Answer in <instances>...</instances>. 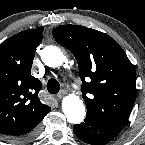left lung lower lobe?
I'll return each instance as SVG.
<instances>
[{"label": "left lung lower lobe", "instance_id": "left-lung-lower-lobe-1", "mask_svg": "<svg viewBox=\"0 0 145 145\" xmlns=\"http://www.w3.org/2000/svg\"><path fill=\"white\" fill-rule=\"evenodd\" d=\"M73 130L82 141L93 145H103L114 139L121 128L109 126L91 117H86L83 123L74 125Z\"/></svg>", "mask_w": 145, "mask_h": 145}]
</instances>
